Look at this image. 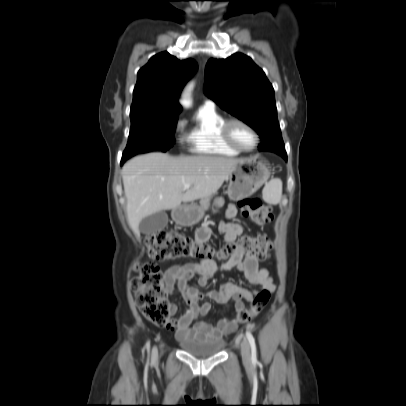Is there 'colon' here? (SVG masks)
<instances>
[{
    "mask_svg": "<svg viewBox=\"0 0 406 406\" xmlns=\"http://www.w3.org/2000/svg\"><path fill=\"white\" fill-rule=\"evenodd\" d=\"M241 215L258 225L269 224L273 219L271 209L258 198H244L239 202ZM148 255L152 261L138 266L137 276L132 282V290L137 297L141 313L152 323L167 326L171 323L172 304L168 300V290L164 276L155 261H171L181 258H210L215 252L204 243L175 231H159L149 234L145 240ZM271 243L267 236L244 235L237 241L227 244L216 255L221 258H241L243 255L265 260L269 258ZM271 292L263 289L258 292L248 307L239 310L237 321L247 323L266 307Z\"/></svg>",
    "mask_w": 406,
    "mask_h": 406,
    "instance_id": "5ec220e1",
    "label": "colon"
}]
</instances>
